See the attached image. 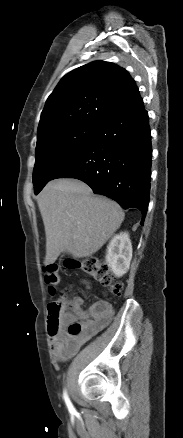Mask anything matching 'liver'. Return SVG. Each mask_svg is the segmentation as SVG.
Instances as JSON below:
<instances>
[{"instance_id":"6515ba94","label":"liver","mask_w":183,"mask_h":438,"mask_svg":"<svg viewBox=\"0 0 183 438\" xmlns=\"http://www.w3.org/2000/svg\"><path fill=\"white\" fill-rule=\"evenodd\" d=\"M46 234L45 265L60 253L74 258L96 253L124 220L120 206L96 197L91 188L77 179H57L48 183L38 197Z\"/></svg>"}]
</instances>
